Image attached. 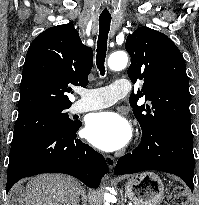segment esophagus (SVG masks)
<instances>
[{
  "instance_id": "esophagus-1",
  "label": "esophagus",
  "mask_w": 199,
  "mask_h": 205,
  "mask_svg": "<svg viewBox=\"0 0 199 205\" xmlns=\"http://www.w3.org/2000/svg\"><path fill=\"white\" fill-rule=\"evenodd\" d=\"M105 160H106V163H107L108 167L110 169H113L115 164H116V160L114 159V157H112L110 155H106Z\"/></svg>"
}]
</instances>
